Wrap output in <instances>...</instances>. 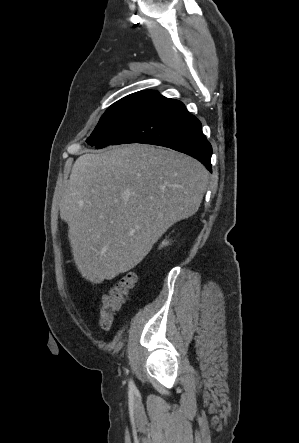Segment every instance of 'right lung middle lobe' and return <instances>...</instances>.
<instances>
[{"mask_svg":"<svg viewBox=\"0 0 299 443\" xmlns=\"http://www.w3.org/2000/svg\"><path fill=\"white\" fill-rule=\"evenodd\" d=\"M160 96L157 91L145 90L115 102L103 114L87 142L96 148L110 145Z\"/></svg>","mask_w":299,"mask_h":443,"instance_id":"obj_1","label":"right lung middle lobe"}]
</instances>
